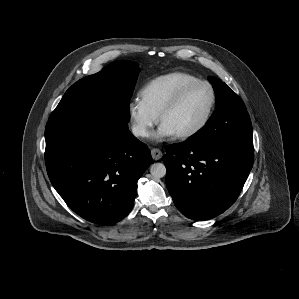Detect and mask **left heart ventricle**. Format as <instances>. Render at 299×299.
<instances>
[{
    "instance_id": "b2bd125f",
    "label": "left heart ventricle",
    "mask_w": 299,
    "mask_h": 299,
    "mask_svg": "<svg viewBox=\"0 0 299 299\" xmlns=\"http://www.w3.org/2000/svg\"><path fill=\"white\" fill-rule=\"evenodd\" d=\"M210 103L209 89L197 85L190 89L181 102L162 120L175 135L191 130L203 119Z\"/></svg>"
}]
</instances>
